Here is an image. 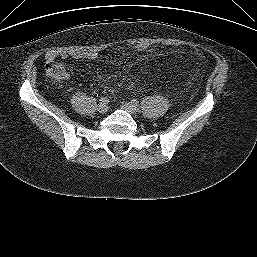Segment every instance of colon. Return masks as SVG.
Returning <instances> with one entry per match:
<instances>
[{"instance_id":"colon-1","label":"colon","mask_w":257,"mask_h":257,"mask_svg":"<svg viewBox=\"0 0 257 257\" xmlns=\"http://www.w3.org/2000/svg\"><path fill=\"white\" fill-rule=\"evenodd\" d=\"M134 49L138 52H143L149 49V44L145 42L136 43L134 45ZM45 68H46L47 75L53 81H61L66 76V71L64 67L60 63L54 60L47 61Z\"/></svg>"}]
</instances>
